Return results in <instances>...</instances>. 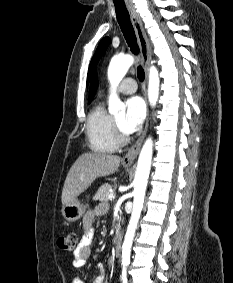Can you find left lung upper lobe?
<instances>
[{
  "mask_svg": "<svg viewBox=\"0 0 233 283\" xmlns=\"http://www.w3.org/2000/svg\"><path fill=\"white\" fill-rule=\"evenodd\" d=\"M110 43V38L109 37H105L103 38L96 50V53L94 54L90 66H89V70H88V79L90 78L91 72L95 66V63L98 61V59L101 57V55L104 53V51L106 50L108 44Z\"/></svg>",
  "mask_w": 233,
  "mask_h": 283,
  "instance_id": "1",
  "label": "left lung upper lobe"
}]
</instances>
